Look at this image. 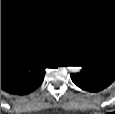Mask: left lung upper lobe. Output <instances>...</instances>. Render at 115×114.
<instances>
[{"label":"left lung upper lobe","instance_id":"5c2ea615","mask_svg":"<svg viewBox=\"0 0 115 114\" xmlns=\"http://www.w3.org/2000/svg\"><path fill=\"white\" fill-rule=\"evenodd\" d=\"M82 61L95 63L115 71V35L101 40L97 48Z\"/></svg>","mask_w":115,"mask_h":114}]
</instances>
